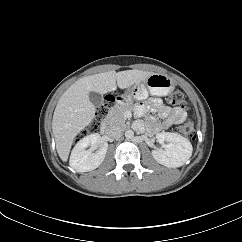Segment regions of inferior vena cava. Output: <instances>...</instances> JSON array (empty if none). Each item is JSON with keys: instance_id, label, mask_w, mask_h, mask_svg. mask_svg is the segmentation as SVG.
I'll return each instance as SVG.
<instances>
[{"instance_id": "obj_1", "label": "inferior vena cava", "mask_w": 242, "mask_h": 242, "mask_svg": "<svg viewBox=\"0 0 242 242\" xmlns=\"http://www.w3.org/2000/svg\"><path fill=\"white\" fill-rule=\"evenodd\" d=\"M107 134L111 139H118L122 136V129L117 125H110Z\"/></svg>"}]
</instances>
